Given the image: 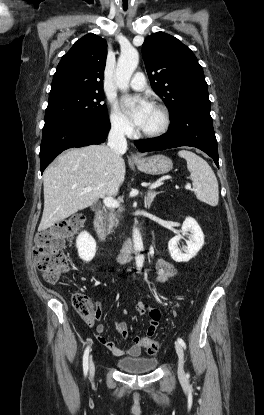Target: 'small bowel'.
<instances>
[{
	"label": "small bowel",
	"instance_id": "small-bowel-1",
	"mask_svg": "<svg viewBox=\"0 0 264 415\" xmlns=\"http://www.w3.org/2000/svg\"><path fill=\"white\" fill-rule=\"evenodd\" d=\"M174 274H175V269L173 265L167 260L159 259L156 263L152 282L156 284L162 283ZM135 310L139 314L144 313L148 310V304L144 300H139L135 304ZM159 321H160L159 311L155 309L150 310L149 311V323H148V328H147V332L149 335L153 334L156 331L159 325ZM104 329L105 328L103 325H98L96 327L97 339L103 346H105L115 356L136 358L140 355L141 350L145 348L142 338L138 336L134 338L133 344L129 346L127 349L119 348L113 341L107 340L105 337L102 336ZM117 331L122 337L124 338L129 337V331L125 323H122V322L118 323Z\"/></svg>",
	"mask_w": 264,
	"mask_h": 415
}]
</instances>
